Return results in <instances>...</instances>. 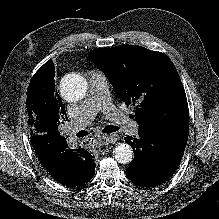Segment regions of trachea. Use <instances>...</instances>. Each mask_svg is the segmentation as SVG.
I'll return each instance as SVG.
<instances>
[{
	"label": "trachea",
	"mask_w": 219,
	"mask_h": 219,
	"mask_svg": "<svg viewBox=\"0 0 219 219\" xmlns=\"http://www.w3.org/2000/svg\"><path fill=\"white\" fill-rule=\"evenodd\" d=\"M116 131H118V128L113 125H108L102 130L103 133H113Z\"/></svg>",
	"instance_id": "trachea-1"
}]
</instances>
